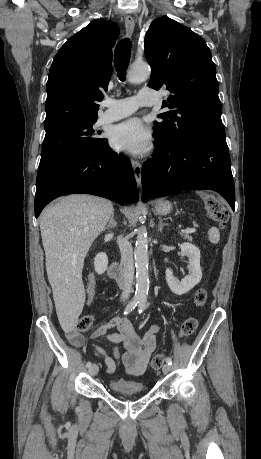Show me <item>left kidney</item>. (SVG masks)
<instances>
[{
    "label": "left kidney",
    "mask_w": 261,
    "mask_h": 459,
    "mask_svg": "<svg viewBox=\"0 0 261 459\" xmlns=\"http://www.w3.org/2000/svg\"><path fill=\"white\" fill-rule=\"evenodd\" d=\"M181 255L188 257L189 273L181 281L174 277L171 269H167L166 281L171 291L176 295H183L197 285L202 278L200 267V250L191 243H183L180 246Z\"/></svg>",
    "instance_id": "1"
}]
</instances>
